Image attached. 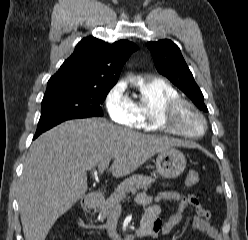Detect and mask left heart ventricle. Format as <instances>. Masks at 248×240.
Segmentation results:
<instances>
[{
	"label": "left heart ventricle",
	"mask_w": 248,
	"mask_h": 240,
	"mask_svg": "<svg viewBox=\"0 0 248 240\" xmlns=\"http://www.w3.org/2000/svg\"><path fill=\"white\" fill-rule=\"evenodd\" d=\"M178 126L190 133L198 134L203 130L201 119L188 108L182 110L178 119Z\"/></svg>",
	"instance_id": "obj_1"
}]
</instances>
